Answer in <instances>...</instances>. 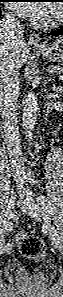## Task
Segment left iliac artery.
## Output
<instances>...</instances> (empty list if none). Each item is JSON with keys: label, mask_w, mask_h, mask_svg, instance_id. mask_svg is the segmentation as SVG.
<instances>
[{"label": "left iliac artery", "mask_w": 63, "mask_h": 297, "mask_svg": "<svg viewBox=\"0 0 63 297\" xmlns=\"http://www.w3.org/2000/svg\"><path fill=\"white\" fill-rule=\"evenodd\" d=\"M37 201L40 202L41 206H42V209L44 211V213L49 216L51 214V203L50 201L44 197V196H40L37 198Z\"/></svg>", "instance_id": "1"}]
</instances>
